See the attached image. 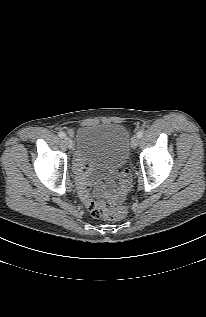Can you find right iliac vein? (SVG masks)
<instances>
[{"mask_svg":"<svg viewBox=\"0 0 206 317\" xmlns=\"http://www.w3.org/2000/svg\"><path fill=\"white\" fill-rule=\"evenodd\" d=\"M64 142H65V144L67 145V147H68L69 149H72V148H73V142H72V140H71L69 137H65V138H64Z\"/></svg>","mask_w":206,"mask_h":317,"instance_id":"1","label":"right iliac vein"}]
</instances>
